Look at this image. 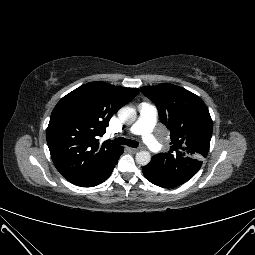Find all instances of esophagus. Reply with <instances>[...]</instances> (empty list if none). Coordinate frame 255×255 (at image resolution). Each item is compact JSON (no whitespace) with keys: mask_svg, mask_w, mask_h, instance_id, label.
<instances>
[{"mask_svg":"<svg viewBox=\"0 0 255 255\" xmlns=\"http://www.w3.org/2000/svg\"><path fill=\"white\" fill-rule=\"evenodd\" d=\"M127 150L130 151L131 153H137L139 151V149L131 147H128Z\"/></svg>","mask_w":255,"mask_h":255,"instance_id":"34e87169","label":"esophagus"}]
</instances>
